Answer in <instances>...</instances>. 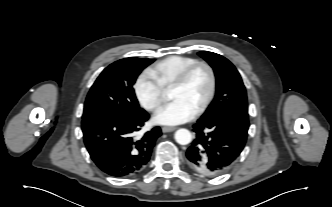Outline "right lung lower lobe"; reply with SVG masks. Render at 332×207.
<instances>
[{
  "instance_id": "right-lung-lower-lobe-1",
  "label": "right lung lower lobe",
  "mask_w": 332,
  "mask_h": 207,
  "mask_svg": "<svg viewBox=\"0 0 332 207\" xmlns=\"http://www.w3.org/2000/svg\"><path fill=\"white\" fill-rule=\"evenodd\" d=\"M148 118L143 110L129 117L100 115L83 120L84 142L95 164L114 177L138 174L150 160L155 141L161 135V129L154 127L139 140L132 137Z\"/></svg>"
}]
</instances>
